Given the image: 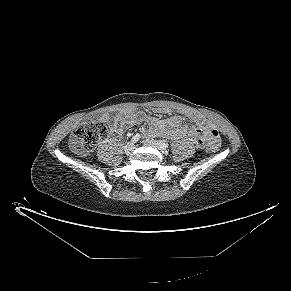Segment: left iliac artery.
Instances as JSON below:
<instances>
[{"instance_id":"obj_1","label":"left iliac artery","mask_w":291,"mask_h":291,"mask_svg":"<svg viewBox=\"0 0 291 291\" xmlns=\"http://www.w3.org/2000/svg\"><path fill=\"white\" fill-rule=\"evenodd\" d=\"M158 143L161 147H163L165 149L169 147V144L165 141H159Z\"/></svg>"}]
</instances>
